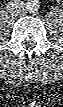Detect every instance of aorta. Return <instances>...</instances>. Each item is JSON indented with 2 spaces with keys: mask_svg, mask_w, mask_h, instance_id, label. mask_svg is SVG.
I'll return each mask as SVG.
<instances>
[{
  "mask_svg": "<svg viewBox=\"0 0 63 107\" xmlns=\"http://www.w3.org/2000/svg\"><path fill=\"white\" fill-rule=\"evenodd\" d=\"M26 9L30 12H35L39 9V1L38 0H28L26 2Z\"/></svg>",
  "mask_w": 63,
  "mask_h": 107,
  "instance_id": "1",
  "label": "aorta"
}]
</instances>
